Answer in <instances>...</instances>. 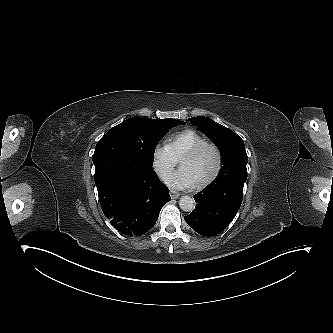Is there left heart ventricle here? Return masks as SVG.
Listing matches in <instances>:
<instances>
[{
  "mask_svg": "<svg viewBox=\"0 0 333 333\" xmlns=\"http://www.w3.org/2000/svg\"><path fill=\"white\" fill-rule=\"evenodd\" d=\"M215 166V153L211 148H204L194 159L184 164L194 183L208 177Z\"/></svg>",
  "mask_w": 333,
  "mask_h": 333,
  "instance_id": "obj_1",
  "label": "left heart ventricle"
}]
</instances>
